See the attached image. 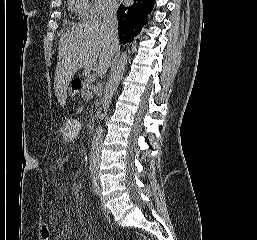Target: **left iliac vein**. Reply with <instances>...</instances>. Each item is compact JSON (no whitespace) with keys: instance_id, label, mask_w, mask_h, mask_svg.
<instances>
[{"instance_id":"4c4485c4","label":"left iliac vein","mask_w":257,"mask_h":240,"mask_svg":"<svg viewBox=\"0 0 257 240\" xmlns=\"http://www.w3.org/2000/svg\"><path fill=\"white\" fill-rule=\"evenodd\" d=\"M100 203H101V209H102V211H103L105 214H109L110 211H109V209L107 208V206L105 205V202L103 201L102 198H101V200H100Z\"/></svg>"}]
</instances>
